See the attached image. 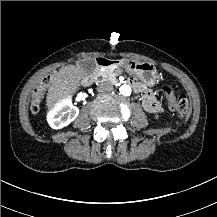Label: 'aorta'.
I'll list each match as a JSON object with an SVG mask.
<instances>
[{"mask_svg": "<svg viewBox=\"0 0 217 217\" xmlns=\"http://www.w3.org/2000/svg\"><path fill=\"white\" fill-rule=\"evenodd\" d=\"M120 93L123 96H130L131 93H132V89H131V87L129 85H122L120 87Z\"/></svg>", "mask_w": 217, "mask_h": 217, "instance_id": "762f6f07", "label": "aorta"}]
</instances>
